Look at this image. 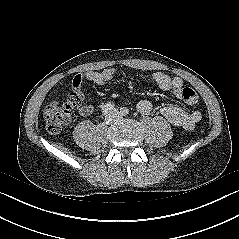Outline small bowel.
Masks as SVG:
<instances>
[{
	"label": "small bowel",
	"mask_w": 239,
	"mask_h": 239,
	"mask_svg": "<svg viewBox=\"0 0 239 239\" xmlns=\"http://www.w3.org/2000/svg\"><path fill=\"white\" fill-rule=\"evenodd\" d=\"M115 68L110 67L102 71H88L83 75H76L72 80V92L78 98V112L82 116H90L94 113V106L85 103V97L81 91L83 80H87L96 85H104L116 75ZM153 82L164 91H171L177 98H181L183 89V80L180 77H170L163 72L152 74ZM139 113L147 115L152 110V103L149 100H141L136 105ZM161 114L174 126L181 127L185 130H191L201 119L199 111L187 112L175 105H166L161 108Z\"/></svg>",
	"instance_id": "obj_1"
}]
</instances>
